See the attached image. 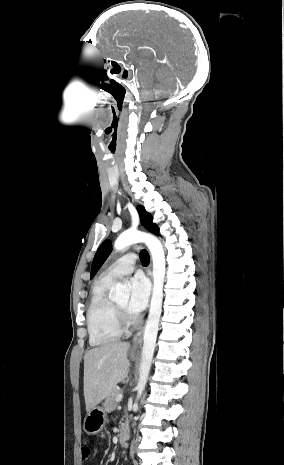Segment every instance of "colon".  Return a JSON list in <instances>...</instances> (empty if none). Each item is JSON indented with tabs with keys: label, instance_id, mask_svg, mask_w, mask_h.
I'll list each match as a JSON object with an SVG mask.
<instances>
[{
	"label": "colon",
	"instance_id": "obj_1",
	"mask_svg": "<svg viewBox=\"0 0 284 465\" xmlns=\"http://www.w3.org/2000/svg\"><path fill=\"white\" fill-rule=\"evenodd\" d=\"M88 442L86 440L82 441L81 454L83 459H87L89 456L90 448L88 447Z\"/></svg>",
	"mask_w": 284,
	"mask_h": 465
}]
</instances>
